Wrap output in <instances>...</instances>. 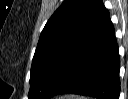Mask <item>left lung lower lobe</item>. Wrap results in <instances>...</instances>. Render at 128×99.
Returning a JSON list of instances; mask_svg holds the SVG:
<instances>
[{
  "label": "left lung lower lobe",
  "mask_w": 128,
  "mask_h": 99,
  "mask_svg": "<svg viewBox=\"0 0 128 99\" xmlns=\"http://www.w3.org/2000/svg\"><path fill=\"white\" fill-rule=\"evenodd\" d=\"M119 68L118 45L107 11L85 43L60 68L46 99L70 93L119 99Z\"/></svg>",
  "instance_id": "left-lung-lower-lobe-1"
}]
</instances>
